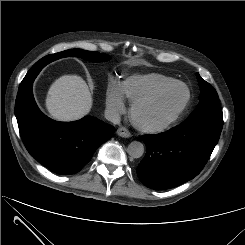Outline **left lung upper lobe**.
I'll list each match as a JSON object with an SVG mask.
<instances>
[{"instance_id": "obj_1", "label": "left lung upper lobe", "mask_w": 245, "mask_h": 245, "mask_svg": "<svg viewBox=\"0 0 245 245\" xmlns=\"http://www.w3.org/2000/svg\"><path fill=\"white\" fill-rule=\"evenodd\" d=\"M201 89L200 103L183 123L206 122L223 126V113L216 90L197 73Z\"/></svg>"}]
</instances>
